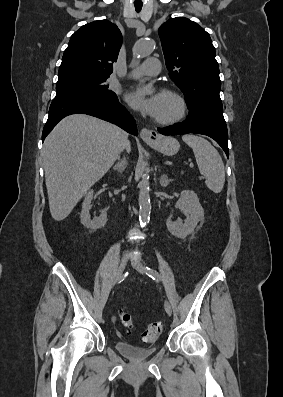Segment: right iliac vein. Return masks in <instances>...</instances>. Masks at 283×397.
<instances>
[{"label":"right iliac vein","instance_id":"right-iliac-vein-1","mask_svg":"<svg viewBox=\"0 0 283 397\" xmlns=\"http://www.w3.org/2000/svg\"><path fill=\"white\" fill-rule=\"evenodd\" d=\"M127 261H128V257L126 255L123 256L122 259H121V262L119 264V267H118V269H117V271H116V273H115V275H114V277L112 279V283H111L112 286H114L122 278L123 273L125 271V267H126Z\"/></svg>","mask_w":283,"mask_h":397}]
</instances>
